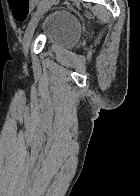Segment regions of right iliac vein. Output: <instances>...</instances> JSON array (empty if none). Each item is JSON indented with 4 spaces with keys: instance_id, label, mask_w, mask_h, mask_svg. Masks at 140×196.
Masks as SVG:
<instances>
[{
    "instance_id": "obj_1",
    "label": "right iliac vein",
    "mask_w": 140,
    "mask_h": 196,
    "mask_svg": "<svg viewBox=\"0 0 140 196\" xmlns=\"http://www.w3.org/2000/svg\"><path fill=\"white\" fill-rule=\"evenodd\" d=\"M52 4H53L52 1H47L41 7L39 13L37 15H35L34 18H32V20L28 24V27H27L25 34H24V37H23V50L25 53H27L30 48L31 41H32L33 35H34V30H35L39 20L50 9Z\"/></svg>"
}]
</instances>
